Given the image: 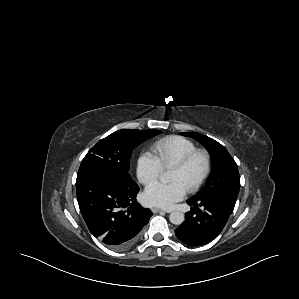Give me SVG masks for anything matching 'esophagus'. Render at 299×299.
I'll return each mask as SVG.
<instances>
[{
	"label": "esophagus",
	"instance_id": "esophagus-1",
	"mask_svg": "<svg viewBox=\"0 0 299 299\" xmlns=\"http://www.w3.org/2000/svg\"><path fill=\"white\" fill-rule=\"evenodd\" d=\"M151 210H152V212H153V213H159V212H170V211H165V210H162V209H159V208H155V207H154V208H152Z\"/></svg>",
	"mask_w": 299,
	"mask_h": 299
}]
</instances>
